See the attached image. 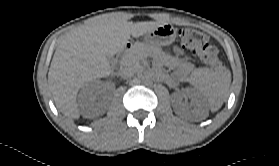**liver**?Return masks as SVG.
Wrapping results in <instances>:
<instances>
[{"label":"liver","instance_id":"6515ba94","mask_svg":"<svg viewBox=\"0 0 279 166\" xmlns=\"http://www.w3.org/2000/svg\"><path fill=\"white\" fill-rule=\"evenodd\" d=\"M160 22H128L119 13L97 17L88 25L64 35L54 53L48 82L56 107L65 116L78 119L77 93L86 83L112 73L107 56L122 51L130 36L140 37Z\"/></svg>","mask_w":279,"mask_h":166}]
</instances>
